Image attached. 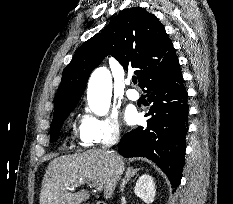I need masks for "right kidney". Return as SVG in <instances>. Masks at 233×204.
Returning a JSON list of instances; mask_svg holds the SVG:
<instances>
[{"instance_id":"ca27d5eb","label":"right kidney","mask_w":233,"mask_h":204,"mask_svg":"<svg viewBox=\"0 0 233 204\" xmlns=\"http://www.w3.org/2000/svg\"><path fill=\"white\" fill-rule=\"evenodd\" d=\"M134 193L137 197L141 198L146 204H150L154 201L156 189L153 178L144 174L136 182L134 187Z\"/></svg>"}]
</instances>
